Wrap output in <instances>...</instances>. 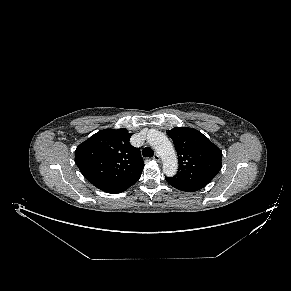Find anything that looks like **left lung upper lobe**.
Wrapping results in <instances>:
<instances>
[{"label": "left lung upper lobe", "mask_w": 291, "mask_h": 291, "mask_svg": "<svg viewBox=\"0 0 291 291\" xmlns=\"http://www.w3.org/2000/svg\"><path fill=\"white\" fill-rule=\"evenodd\" d=\"M174 141L179 168L171 179L183 184H208L222 167V151L200 131L174 127L168 131Z\"/></svg>", "instance_id": "left-lung-upper-lobe-1"}]
</instances>
